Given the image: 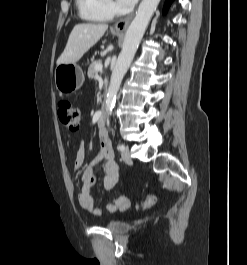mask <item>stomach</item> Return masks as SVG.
<instances>
[{
	"label": "stomach",
	"instance_id": "1",
	"mask_svg": "<svg viewBox=\"0 0 247 265\" xmlns=\"http://www.w3.org/2000/svg\"><path fill=\"white\" fill-rule=\"evenodd\" d=\"M55 85L62 94L78 90L84 82V73L75 63L57 65L54 73Z\"/></svg>",
	"mask_w": 247,
	"mask_h": 265
}]
</instances>
